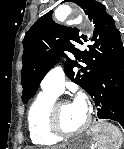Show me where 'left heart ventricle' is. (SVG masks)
<instances>
[{
	"instance_id": "left-heart-ventricle-1",
	"label": "left heart ventricle",
	"mask_w": 124,
	"mask_h": 149,
	"mask_svg": "<svg viewBox=\"0 0 124 149\" xmlns=\"http://www.w3.org/2000/svg\"><path fill=\"white\" fill-rule=\"evenodd\" d=\"M61 126L65 130H75L85 122L88 111H84L72 102L64 103L59 109Z\"/></svg>"
}]
</instances>
